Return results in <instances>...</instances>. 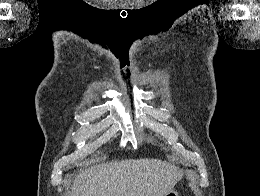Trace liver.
Returning a JSON list of instances; mask_svg holds the SVG:
<instances>
[{
  "label": "liver",
  "instance_id": "1",
  "mask_svg": "<svg viewBox=\"0 0 260 196\" xmlns=\"http://www.w3.org/2000/svg\"><path fill=\"white\" fill-rule=\"evenodd\" d=\"M182 178V170L162 160L104 162L81 170L70 196H166Z\"/></svg>",
  "mask_w": 260,
  "mask_h": 196
}]
</instances>
